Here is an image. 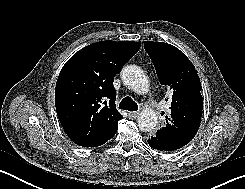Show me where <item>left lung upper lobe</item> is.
<instances>
[{
	"label": "left lung upper lobe",
	"mask_w": 245,
	"mask_h": 189,
	"mask_svg": "<svg viewBox=\"0 0 245 189\" xmlns=\"http://www.w3.org/2000/svg\"><path fill=\"white\" fill-rule=\"evenodd\" d=\"M144 48L161 85L173 92L171 115L153 136L174 151L189 143L198 131L203 110L199 76L190 60L173 45L145 41Z\"/></svg>",
	"instance_id": "left-lung-upper-lobe-1"
}]
</instances>
